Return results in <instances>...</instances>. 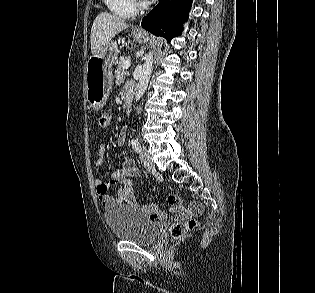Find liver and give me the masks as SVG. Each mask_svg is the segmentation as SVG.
Listing matches in <instances>:
<instances>
[{
    "mask_svg": "<svg viewBox=\"0 0 315 293\" xmlns=\"http://www.w3.org/2000/svg\"><path fill=\"white\" fill-rule=\"evenodd\" d=\"M129 24L107 12L98 14L91 28L90 42L92 54L104 53L112 39Z\"/></svg>",
    "mask_w": 315,
    "mask_h": 293,
    "instance_id": "1",
    "label": "liver"
}]
</instances>
